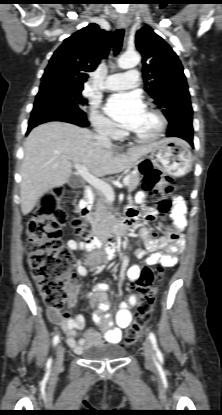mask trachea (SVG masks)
<instances>
[{"label": "trachea", "mask_w": 222, "mask_h": 415, "mask_svg": "<svg viewBox=\"0 0 222 415\" xmlns=\"http://www.w3.org/2000/svg\"><path fill=\"white\" fill-rule=\"evenodd\" d=\"M123 37H124V29H117L114 34V55H117L121 48L123 43Z\"/></svg>", "instance_id": "obj_1"}]
</instances>
